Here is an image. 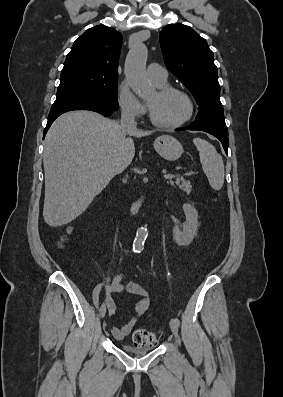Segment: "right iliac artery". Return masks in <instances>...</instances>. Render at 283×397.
I'll return each mask as SVG.
<instances>
[{
	"label": "right iliac artery",
	"instance_id": "1",
	"mask_svg": "<svg viewBox=\"0 0 283 397\" xmlns=\"http://www.w3.org/2000/svg\"><path fill=\"white\" fill-rule=\"evenodd\" d=\"M100 289H101V285H98V286L95 288V290H94V295H93V298H92V303L95 304V305H98V303H99L98 294H99V292H100ZM101 306H102V305H101Z\"/></svg>",
	"mask_w": 283,
	"mask_h": 397
}]
</instances>
